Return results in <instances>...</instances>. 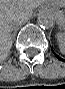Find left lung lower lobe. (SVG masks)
<instances>
[{
	"label": "left lung lower lobe",
	"instance_id": "obj_1",
	"mask_svg": "<svg viewBox=\"0 0 65 89\" xmlns=\"http://www.w3.org/2000/svg\"><path fill=\"white\" fill-rule=\"evenodd\" d=\"M52 52L54 53V55L59 59V60H61V61H64L65 62V60L64 59H62L61 57H59L53 50H52Z\"/></svg>",
	"mask_w": 65,
	"mask_h": 89
}]
</instances>
